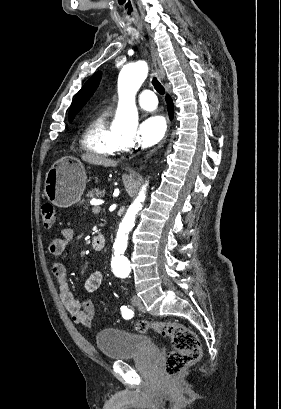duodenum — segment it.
<instances>
[{
  "label": "duodenum",
  "instance_id": "410a0bca",
  "mask_svg": "<svg viewBox=\"0 0 281 409\" xmlns=\"http://www.w3.org/2000/svg\"><path fill=\"white\" fill-rule=\"evenodd\" d=\"M104 246V238L102 235H97L93 238V248L96 251H100Z\"/></svg>",
  "mask_w": 281,
  "mask_h": 409
}]
</instances>
